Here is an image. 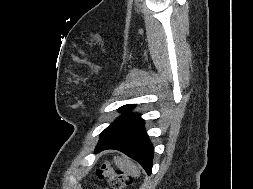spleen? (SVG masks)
Here are the masks:
<instances>
[{"label":"spleen","instance_id":"obj_1","mask_svg":"<svg viewBox=\"0 0 253 189\" xmlns=\"http://www.w3.org/2000/svg\"><path fill=\"white\" fill-rule=\"evenodd\" d=\"M114 162L116 166L123 171L126 175L131 177H139L140 170L136 164L125 156H115Z\"/></svg>","mask_w":253,"mask_h":189}]
</instances>
